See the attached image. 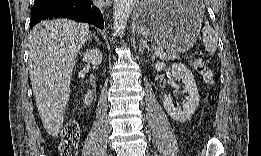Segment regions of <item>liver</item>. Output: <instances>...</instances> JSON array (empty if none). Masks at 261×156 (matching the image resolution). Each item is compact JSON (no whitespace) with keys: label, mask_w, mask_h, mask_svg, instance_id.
I'll return each instance as SVG.
<instances>
[{"label":"liver","mask_w":261,"mask_h":156,"mask_svg":"<svg viewBox=\"0 0 261 156\" xmlns=\"http://www.w3.org/2000/svg\"><path fill=\"white\" fill-rule=\"evenodd\" d=\"M91 37L89 26L67 19L42 21L29 37V75L46 132L60 133L75 60Z\"/></svg>","instance_id":"liver-1"}]
</instances>
